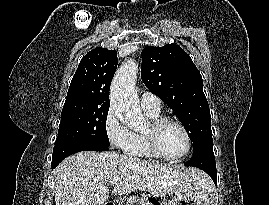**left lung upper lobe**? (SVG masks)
Returning a JSON list of instances; mask_svg holds the SVG:
<instances>
[{
	"mask_svg": "<svg viewBox=\"0 0 269 205\" xmlns=\"http://www.w3.org/2000/svg\"><path fill=\"white\" fill-rule=\"evenodd\" d=\"M141 79L152 93L175 111L194 144V151L212 141L202 76L180 46L167 44L144 48Z\"/></svg>",
	"mask_w": 269,
	"mask_h": 205,
	"instance_id": "left-lung-upper-lobe-1",
	"label": "left lung upper lobe"
}]
</instances>
